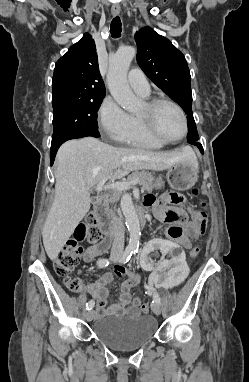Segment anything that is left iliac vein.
Masks as SVG:
<instances>
[{
  "instance_id": "4c4485c4",
  "label": "left iliac vein",
  "mask_w": 249,
  "mask_h": 382,
  "mask_svg": "<svg viewBox=\"0 0 249 382\" xmlns=\"http://www.w3.org/2000/svg\"><path fill=\"white\" fill-rule=\"evenodd\" d=\"M151 309H152V311H153L156 315H160V313H161V308H160L159 304H157V303H152V304H151Z\"/></svg>"
}]
</instances>
